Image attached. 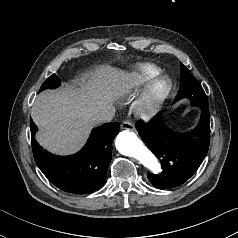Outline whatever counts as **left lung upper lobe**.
<instances>
[{"label": "left lung upper lobe", "mask_w": 238, "mask_h": 238, "mask_svg": "<svg viewBox=\"0 0 238 238\" xmlns=\"http://www.w3.org/2000/svg\"><path fill=\"white\" fill-rule=\"evenodd\" d=\"M180 88L175 100L188 98L191 103H208L206 94L197 79L181 63L180 64Z\"/></svg>", "instance_id": "1"}]
</instances>
